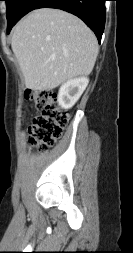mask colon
I'll return each instance as SVG.
<instances>
[{
    "mask_svg": "<svg viewBox=\"0 0 133 253\" xmlns=\"http://www.w3.org/2000/svg\"><path fill=\"white\" fill-rule=\"evenodd\" d=\"M25 98L39 111L29 126V141L41 151L48 150L63 134L68 124V114L49 90H27Z\"/></svg>",
    "mask_w": 133,
    "mask_h": 253,
    "instance_id": "1",
    "label": "colon"
}]
</instances>
